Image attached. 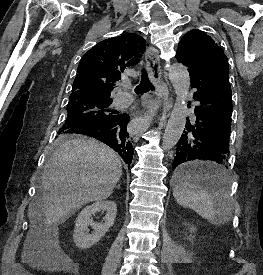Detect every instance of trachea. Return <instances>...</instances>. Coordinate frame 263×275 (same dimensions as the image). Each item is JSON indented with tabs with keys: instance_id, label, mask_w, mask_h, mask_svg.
<instances>
[{
	"instance_id": "1",
	"label": "trachea",
	"mask_w": 263,
	"mask_h": 275,
	"mask_svg": "<svg viewBox=\"0 0 263 275\" xmlns=\"http://www.w3.org/2000/svg\"><path fill=\"white\" fill-rule=\"evenodd\" d=\"M149 90H154V86L150 82L146 70L142 69L141 81L140 84L135 88V93L143 94Z\"/></svg>"
}]
</instances>
